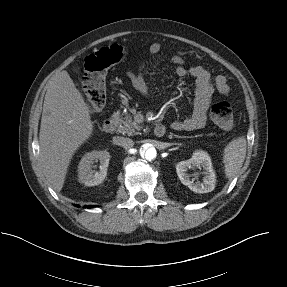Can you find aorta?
<instances>
[{"label": "aorta", "mask_w": 287, "mask_h": 287, "mask_svg": "<svg viewBox=\"0 0 287 287\" xmlns=\"http://www.w3.org/2000/svg\"><path fill=\"white\" fill-rule=\"evenodd\" d=\"M140 153L143 159L147 161H152L157 156V151L155 147L149 143L143 144L140 148Z\"/></svg>", "instance_id": "762f6f07"}]
</instances>
